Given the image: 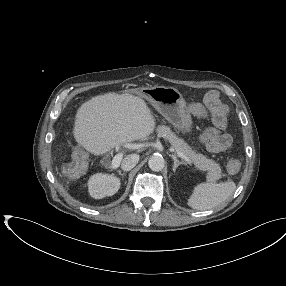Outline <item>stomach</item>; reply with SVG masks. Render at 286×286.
I'll return each instance as SVG.
<instances>
[{
    "mask_svg": "<svg viewBox=\"0 0 286 286\" xmlns=\"http://www.w3.org/2000/svg\"><path fill=\"white\" fill-rule=\"evenodd\" d=\"M140 97L150 104L175 128L190 133L192 118L182 94L173 87L154 86L139 90Z\"/></svg>",
    "mask_w": 286,
    "mask_h": 286,
    "instance_id": "1",
    "label": "stomach"
}]
</instances>
